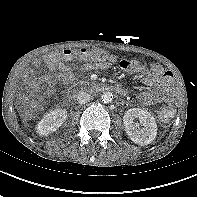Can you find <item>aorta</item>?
Returning <instances> with one entry per match:
<instances>
[{"instance_id":"aorta-1","label":"aorta","mask_w":197,"mask_h":197,"mask_svg":"<svg viewBox=\"0 0 197 197\" xmlns=\"http://www.w3.org/2000/svg\"><path fill=\"white\" fill-rule=\"evenodd\" d=\"M101 99L104 103H109L113 100V94L111 92H104L101 95Z\"/></svg>"}]
</instances>
